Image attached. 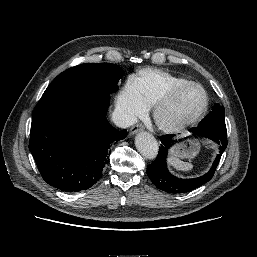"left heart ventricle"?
I'll return each instance as SVG.
<instances>
[{
	"instance_id": "obj_1",
	"label": "left heart ventricle",
	"mask_w": 257,
	"mask_h": 257,
	"mask_svg": "<svg viewBox=\"0 0 257 257\" xmlns=\"http://www.w3.org/2000/svg\"><path fill=\"white\" fill-rule=\"evenodd\" d=\"M204 102L200 88L190 87L179 93L173 102L164 109L163 116L171 122L184 121L194 116Z\"/></svg>"
}]
</instances>
